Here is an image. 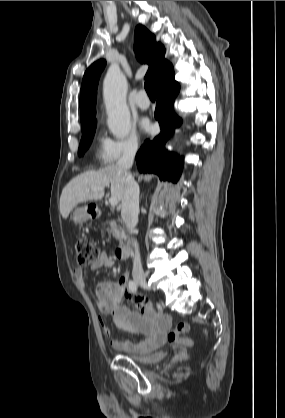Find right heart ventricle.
<instances>
[{
  "label": "right heart ventricle",
  "mask_w": 285,
  "mask_h": 418,
  "mask_svg": "<svg viewBox=\"0 0 285 418\" xmlns=\"http://www.w3.org/2000/svg\"><path fill=\"white\" fill-rule=\"evenodd\" d=\"M105 140H103V138L101 137V136H98V143H99V145H100V149H99V151H98V155L101 157V155H102V150H103V147H104V145H105Z\"/></svg>",
  "instance_id": "obj_1"
}]
</instances>
